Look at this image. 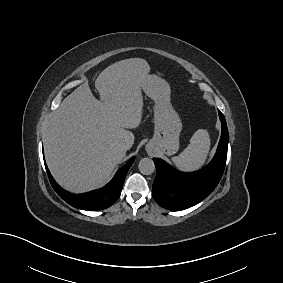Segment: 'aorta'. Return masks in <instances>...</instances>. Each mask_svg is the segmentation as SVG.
Returning a JSON list of instances; mask_svg holds the SVG:
<instances>
[{
  "mask_svg": "<svg viewBox=\"0 0 283 283\" xmlns=\"http://www.w3.org/2000/svg\"><path fill=\"white\" fill-rule=\"evenodd\" d=\"M139 171L144 175H150L155 170V165L152 159L142 158L138 164Z\"/></svg>",
  "mask_w": 283,
  "mask_h": 283,
  "instance_id": "aorta-1",
  "label": "aorta"
}]
</instances>
